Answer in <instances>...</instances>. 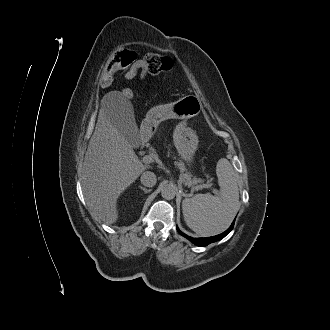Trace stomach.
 <instances>
[{
  "instance_id": "1",
  "label": "stomach",
  "mask_w": 330,
  "mask_h": 330,
  "mask_svg": "<svg viewBox=\"0 0 330 330\" xmlns=\"http://www.w3.org/2000/svg\"><path fill=\"white\" fill-rule=\"evenodd\" d=\"M203 109L200 99L195 95H186L176 102L169 104L162 110L167 118H177L180 122L173 133L174 145L181 158L191 166L198 146V137L195 131L186 125V120L197 116ZM154 126L157 121L153 119Z\"/></svg>"
}]
</instances>
